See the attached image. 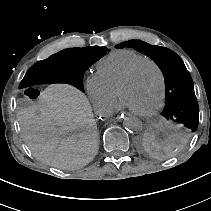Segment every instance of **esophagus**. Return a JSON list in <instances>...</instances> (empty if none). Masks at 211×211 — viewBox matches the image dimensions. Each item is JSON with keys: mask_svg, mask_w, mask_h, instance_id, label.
<instances>
[{"mask_svg": "<svg viewBox=\"0 0 211 211\" xmlns=\"http://www.w3.org/2000/svg\"><path fill=\"white\" fill-rule=\"evenodd\" d=\"M115 116H116V119L119 121L122 118L129 119L131 117V114L129 112H124L121 110L117 112Z\"/></svg>", "mask_w": 211, "mask_h": 211, "instance_id": "1", "label": "esophagus"}]
</instances>
